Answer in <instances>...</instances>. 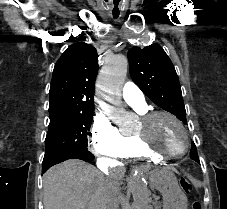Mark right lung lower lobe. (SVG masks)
Returning <instances> with one entry per match:
<instances>
[{"label":"right lung lower lobe","mask_w":227,"mask_h":209,"mask_svg":"<svg viewBox=\"0 0 227 209\" xmlns=\"http://www.w3.org/2000/svg\"><path fill=\"white\" fill-rule=\"evenodd\" d=\"M68 159H81V160H84L86 162H91L92 160H94V156H93V154L91 152L60 154V155L54 156V157L49 159L48 168H50L52 165H55L57 163L63 162V161L68 160ZM45 171L46 170L42 169L43 173Z\"/></svg>","instance_id":"98d812e1"}]
</instances>
